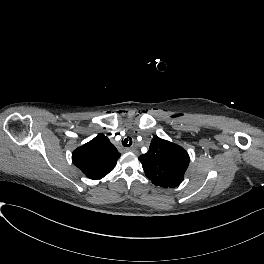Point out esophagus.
<instances>
[{
  "instance_id": "obj_1",
  "label": "esophagus",
  "mask_w": 264,
  "mask_h": 264,
  "mask_svg": "<svg viewBox=\"0 0 264 264\" xmlns=\"http://www.w3.org/2000/svg\"><path fill=\"white\" fill-rule=\"evenodd\" d=\"M126 151L128 152H135L136 151V147H130V148H126Z\"/></svg>"
}]
</instances>
